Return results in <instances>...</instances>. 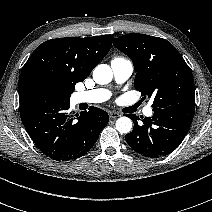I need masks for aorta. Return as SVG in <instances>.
Segmentation results:
<instances>
[{
	"label": "aorta",
	"instance_id": "obj_1",
	"mask_svg": "<svg viewBox=\"0 0 212 212\" xmlns=\"http://www.w3.org/2000/svg\"><path fill=\"white\" fill-rule=\"evenodd\" d=\"M113 72L110 66L100 64L93 70V79L97 84L105 85L111 82ZM116 129L122 134H127L132 129V120L128 117H120L116 121Z\"/></svg>",
	"mask_w": 212,
	"mask_h": 212
}]
</instances>
